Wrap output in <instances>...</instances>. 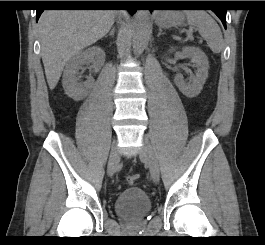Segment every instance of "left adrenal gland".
Listing matches in <instances>:
<instances>
[{"mask_svg": "<svg viewBox=\"0 0 265 245\" xmlns=\"http://www.w3.org/2000/svg\"><path fill=\"white\" fill-rule=\"evenodd\" d=\"M162 34H164V33L162 32V29L160 28L157 36L159 37Z\"/></svg>", "mask_w": 265, "mask_h": 245, "instance_id": "obj_1", "label": "left adrenal gland"}]
</instances>
